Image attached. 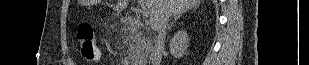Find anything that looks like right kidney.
I'll use <instances>...</instances> for the list:
<instances>
[{
	"instance_id": "right-kidney-1",
	"label": "right kidney",
	"mask_w": 309,
	"mask_h": 65,
	"mask_svg": "<svg viewBox=\"0 0 309 65\" xmlns=\"http://www.w3.org/2000/svg\"><path fill=\"white\" fill-rule=\"evenodd\" d=\"M188 43H189V38L188 34L185 30H181L177 32L174 37L170 40L169 43V50L170 53L173 55L175 58H182L187 51L188 48Z\"/></svg>"
}]
</instances>
